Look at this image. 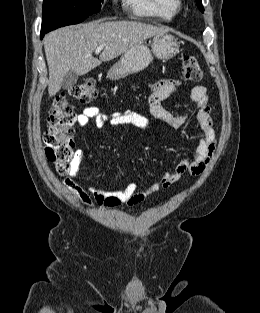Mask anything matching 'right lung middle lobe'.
Here are the masks:
<instances>
[{
  "label": "right lung middle lobe",
  "mask_w": 260,
  "mask_h": 313,
  "mask_svg": "<svg viewBox=\"0 0 260 313\" xmlns=\"http://www.w3.org/2000/svg\"><path fill=\"white\" fill-rule=\"evenodd\" d=\"M103 0H44L41 30L77 24L101 9Z\"/></svg>",
  "instance_id": "right-lung-middle-lobe-1"
}]
</instances>
